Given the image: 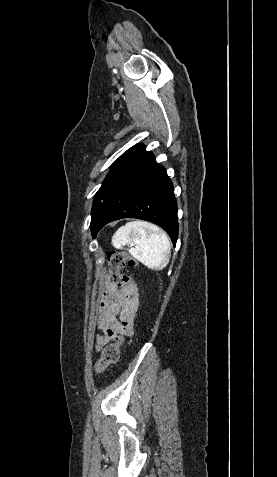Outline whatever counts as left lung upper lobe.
<instances>
[{"instance_id":"1","label":"left lung upper lobe","mask_w":277,"mask_h":477,"mask_svg":"<svg viewBox=\"0 0 277 477\" xmlns=\"http://www.w3.org/2000/svg\"><path fill=\"white\" fill-rule=\"evenodd\" d=\"M143 146V144H137L133 147H131L130 149H128L126 152H124L113 164L110 172L108 173L107 177L105 178L102 186L100 187V189L98 190V192L95 194V197H94V202H93V207H92V213L94 211V208H95V204H96V201H97V198L99 196V193L101 192L105 182L107 181V179L110 177V175L125 161L127 160L132 154H134L137 150H139L141 147Z\"/></svg>"}]
</instances>
